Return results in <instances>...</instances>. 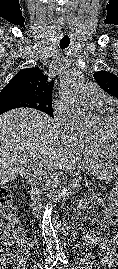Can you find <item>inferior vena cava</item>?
Masks as SVG:
<instances>
[{
    "mask_svg": "<svg viewBox=\"0 0 118 269\" xmlns=\"http://www.w3.org/2000/svg\"><path fill=\"white\" fill-rule=\"evenodd\" d=\"M44 178H45V181H47V176H44Z\"/></svg>",
    "mask_w": 118,
    "mask_h": 269,
    "instance_id": "1",
    "label": "inferior vena cava"
}]
</instances>
